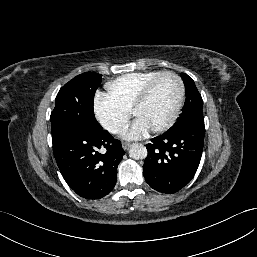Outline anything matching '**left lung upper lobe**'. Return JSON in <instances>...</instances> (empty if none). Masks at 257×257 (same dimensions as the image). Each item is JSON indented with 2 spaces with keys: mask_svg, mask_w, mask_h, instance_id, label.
Here are the masks:
<instances>
[{
  "mask_svg": "<svg viewBox=\"0 0 257 257\" xmlns=\"http://www.w3.org/2000/svg\"><path fill=\"white\" fill-rule=\"evenodd\" d=\"M185 90L186 101L177 122L168 130L173 132L189 126H203L204 117L202 112L203 100L198 92L194 81L185 73H181Z\"/></svg>",
  "mask_w": 257,
  "mask_h": 257,
  "instance_id": "left-lung-upper-lobe-1",
  "label": "left lung upper lobe"
}]
</instances>
